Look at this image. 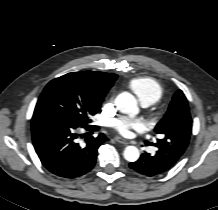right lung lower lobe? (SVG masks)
I'll use <instances>...</instances> for the list:
<instances>
[{
    "mask_svg": "<svg viewBox=\"0 0 218 210\" xmlns=\"http://www.w3.org/2000/svg\"><path fill=\"white\" fill-rule=\"evenodd\" d=\"M90 133L99 127L79 125L71 119L50 113L34 114L31 121L32 141L43 166L63 178H75L89 172L95 165L98 147L107 139L100 133L90 136L84 145L76 142V131Z\"/></svg>",
    "mask_w": 218,
    "mask_h": 210,
    "instance_id": "obj_1",
    "label": "right lung lower lobe"
}]
</instances>
